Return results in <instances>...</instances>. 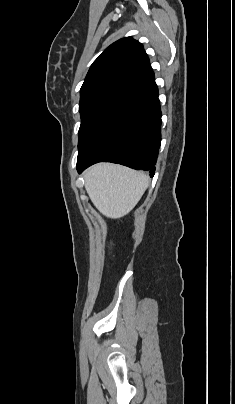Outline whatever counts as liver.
Masks as SVG:
<instances>
[{
    "label": "liver",
    "instance_id": "6515ba94",
    "mask_svg": "<svg viewBox=\"0 0 235 404\" xmlns=\"http://www.w3.org/2000/svg\"><path fill=\"white\" fill-rule=\"evenodd\" d=\"M85 189L94 206L106 217L128 214L148 187V176L125 166L99 163L84 173Z\"/></svg>",
    "mask_w": 235,
    "mask_h": 404
}]
</instances>
